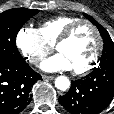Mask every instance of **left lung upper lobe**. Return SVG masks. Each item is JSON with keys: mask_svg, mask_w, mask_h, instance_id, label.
<instances>
[{"mask_svg": "<svg viewBox=\"0 0 114 114\" xmlns=\"http://www.w3.org/2000/svg\"><path fill=\"white\" fill-rule=\"evenodd\" d=\"M84 16L96 25L104 41V47L99 66L114 64V43L109 36V33L91 16L85 13Z\"/></svg>", "mask_w": 114, "mask_h": 114, "instance_id": "left-lung-upper-lobe-1", "label": "left lung upper lobe"}]
</instances>
